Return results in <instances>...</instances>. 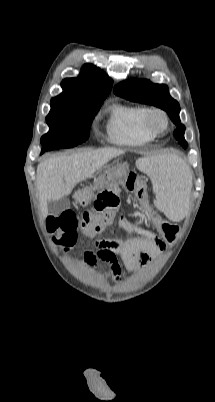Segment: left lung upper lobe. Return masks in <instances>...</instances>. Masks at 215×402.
Returning <instances> with one entry per match:
<instances>
[{
	"label": "left lung upper lobe",
	"mask_w": 215,
	"mask_h": 402,
	"mask_svg": "<svg viewBox=\"0 0 215 402\" xmlns=\"http://www.w3.org/2000/svg\"><path fill=\"white\" fill-rule=\"evenodd\" d=\"M113 91L130 101L154 105L165 110L178 126L174 131L175 138L184 148L187 147L184 139L185 126L180 124L179 103L170 96L166 85L154 84L146 79H130L117 84Z\"/></svg>",
	"instance_id": "left-lung-upper-lobe-1"
}]
</instances>
